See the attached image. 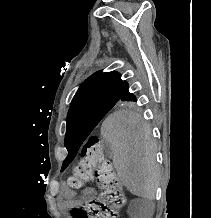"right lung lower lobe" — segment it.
<instances>
[{
	"label": "right lung lower lobe",
	"instance_id": "obj_1",
	"mask_svg": "<svg viewBox=\"0 0 211 218\" xmlns=\"http://www.w3.org/2000/svg\"><path fill=\"white\" fill-rule=\"evenodd\" d=\"M122 98H124V99H126V98H135V96L133 94L129 93L128 88H127L126 91L124 92Z\"/></svg>",
	"mask_w": 211,
	"mask_h": 218
}]
</instances>
